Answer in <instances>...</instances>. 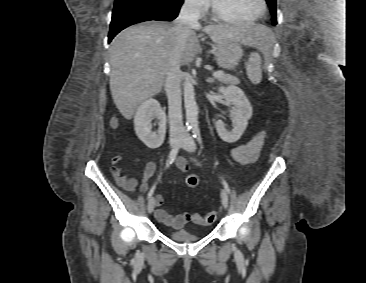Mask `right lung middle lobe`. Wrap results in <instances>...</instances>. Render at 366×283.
Listing matches in <instances>:
<instances>
[{"mask_svg": "<svg viewBox=\"0 0 366 283\" xmlns=\"http://www.w3.org/2000/svg\"><path fill=\"white\" fill-rule=\"evenodd\" d=\"M165 1L171 5H177L181 3L183 0H165Z\"/></svg>", "mask_w": 366, "mask_h": 283, "instance_id": "1", "label": "right lung middle lobe"}]
</instances>
